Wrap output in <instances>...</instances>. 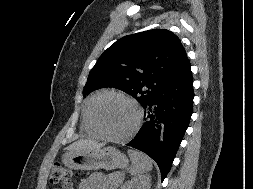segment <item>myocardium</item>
Masks as SVG:
<instances>
[{"mask_svg":"<svg viewBox=\"0 0 253 189\" xmlns=\"http://www.w3.org/2000/svg\"><path fill=\"white\" fill-rule=\"evenodd\" d=\"M106 97H117L120 98L122 100H124L125 102L129 103L135 110L136 112V121L134 123V126L132 127V129L126 133L125 135L122 136H115L112 134H109L100 124L98 118H97V113H96V109H97V105L98 103ZM90 119L92 122V125L95 127V129L99 132V134L108 140L111 141H116V142H122V141H127L130 138H132L140 129L142 122H143V111L141 109V107L139 106V104L130 96L123 94L121 92H117V91H105L102 92L100 94H98L90 107Z\"/></svg>","mask_w":253,"mask_h":189,"instance_id":"obj_1","label":"myocardium"}]
</instances>
